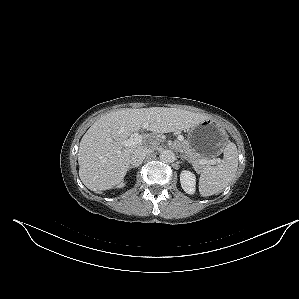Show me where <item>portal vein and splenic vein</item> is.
<instances>
[{
    "instance_id": "1",
    "label": "portal vein and splenic vein",
    "mask_w": 299,
    "mask_h": 299,
    "mask_svg": "<svg viewBox=\"0 0 299 299\" xmlns=\"http://www.w3.org/2000/svg\"><path fill=\"white\" fill-rule=\"evenodd\" d=\"M178 140L183 141L184 140L183 136H181V135L178 136ZM141 141H142V135H140L139 133H133L130 136V138L125 141V146H133V145H136V144L140 143ZM218 161L219 160H216V159H210V160L203 159L199 162V164H201V165H205V164L214 165Z\"/></svg>"
}]
</instances>
